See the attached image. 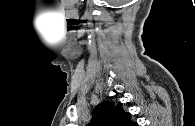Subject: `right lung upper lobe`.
I'll list each match as a JSON object with an SVG mask.
<instances>
[{
  "mask_svg": "<svg viewBox=\"0 0 195 126\" xmlns=\"http://www.w3.org/2000/svg\"><path fill=\"white\" fill-rule=\"evenodd\" d=\"M90 126H138L130 119V113L125 112L121 104L115 105L105 101L97 105L93 112Z\"/></svg>",
  "mask_w": 195,
  "mask_h": 126,
  "instance_id": "obj_1",
  "label": "right lung upper lobe"
}]
</instances>
